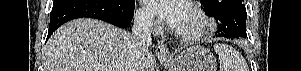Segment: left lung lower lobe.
<instances>
[{
	"instance_id": "obj_1",
	"label": "left lung lower lobe",
	"mask_w": 301,
	"mask_h": 71,
	"mask_svg": "<svg viewBox=\"0 0 301 71\" xmlns=\"http://www.w3.org/2000/svg\"><path fill=\"white\" fill-rule=\"evenodd\" d=\"M215 18L217 29L215 36L226 38H245L246 34V8L240 0H224L217 3L207 12Z\"/></svg>"
}]
</instances>
